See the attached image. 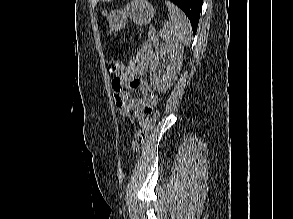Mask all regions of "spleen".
Returning a JSON list of instances; mask_svg holds the SVG:
<instances>
[{
  "instance_id": "3e777b00",
  "label": "spleen",
  "mask_w": 293,
  "mask_h": 219,
  "mask_svg": "<svg viewBox=\"0 0 293 219\" xmlns=\"http://www.w3.org/2000/svg\"><path fill=\"white\" fill-rule=\"evenodd\" d=\"M169 11V21L160 30V36L167 42L182 43L189 45L192 35V28L186 15L173 3L166 1Z\"/></svg>"
}]
</instances>
